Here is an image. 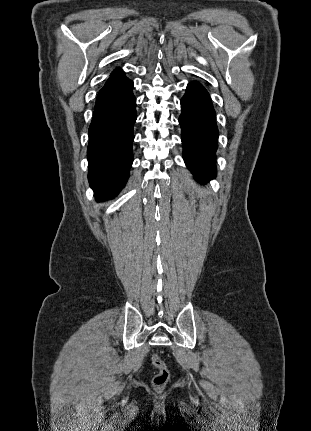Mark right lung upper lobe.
<instances>
[{
	"label": "right lung upper lobe",
	"mask_w": 311,
	"mask_h": 431,
	"mask_svg": "<svg viewBox=\"0 0 311 431\" xmlns=\"http://www.w3.org/2000/svg\"><path fill=\"white\" fill-rule=\"evenodd\" d=\"M119 70H120V69H119V68H117L115 71H119ZM115 71H114V72H115Z\"/></svg>",
	"instance_id": "1"
}]
</instances>
